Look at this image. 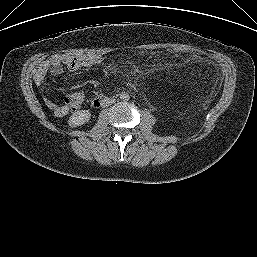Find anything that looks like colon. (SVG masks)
I'll return each instance as SVG.
<instances>
[{
	"mask_svg": "<svg viewBox=\"0 0 257 257\" xmlns=\"http://www.w3.org/2000/svg\"><path fill=\"white\" fill-rule=\"evenodd\" d=\"M168 51L174 54L179 53V50L175 48H169ZM83 100L84 98L82 94L70 93L64 96L63 103L67 108L71 110H78L79 108H81Z\"/></svg>",
	"mask_w": 257,
	"mask_h": 257,
	"instance_id": "5ec220e1",
	"label": "colon"
}]
</instances>
